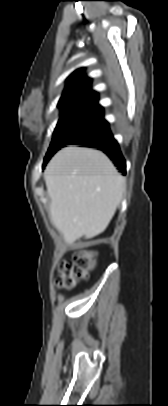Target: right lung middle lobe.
Wrapping results in <instances>:
<instances>
[{
    "label": "right lung middle lobe",
    "mask_w": 168,
    "mask_h": 406,
    "mask_svg": "<svg viewBox=\"0 0 168 406\" xmlns=\"http://www.w3.org/2000/svg\"><path fill=\"white\" fill-rule=\"evenodd\" d=\"M108 125L104 119L103 108L100 106H79L63 109L45 156L44 165L60 148L80 141Z\"/></svg>",
    "instance_id": "obj_1"
}]
</instances>
